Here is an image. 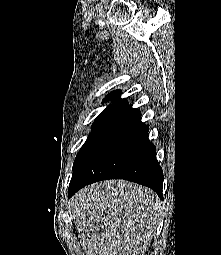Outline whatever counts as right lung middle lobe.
<instances>
[{"label":"right lung middle lobe","instance_id":"dd1d6c3e","mask_svg":"<svg viewBox=\"0 0 221 255\" xmlns=\"http://www.w3.org/2000/svg\"><path fill=\"white\" fill-rule=\"evenodd\" d=\"M116 110L114 109H105L95 120V122L92 125V132L88 136V139L80 149L78 155L76 156V159L74 161L73 169L76 167L77 163L83 156V154L86 152L88 146L91 144L97 133L100 131V129L105 125V123L110 119V117L115 113Z\"/></svg>","mask_w":221,"mask_h":255}]
</instances>
